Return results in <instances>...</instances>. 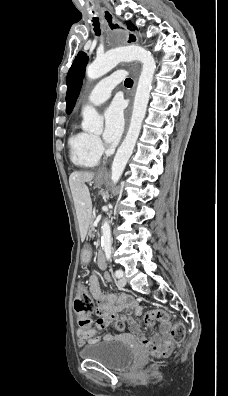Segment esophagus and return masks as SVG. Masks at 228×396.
<instances>
[{"instance_id":"esophagus-1","label":"esophagus","mask_w":228,"mask_h":396,"mask_svg":"<svg viewBox=\"0 0 228 396\" xmlns=\"http://www.w3.org/2000/svg\"><path fill=\"white\" fill-rule=\"evenodd\" d=\"M100 14H101V17H102L103 21L105 22V25L108 28H110L111 26L117 24V19L114 17V15L112 14V12L110 10H108L106 8H101L100 9ZM133 41L137 42V38L134 37ZM137 76H138L137 73H135V75H134V86H133V89H132L131 94H130L131 104H130V106L128 108V111H127V121L128 122H129V117H130V113H131V109H132V99H133L135 87H136V84H137ZM98 173L99 174H106L107 170H106V168H101L98 171Z\"/></svg>"}]
</instances>
